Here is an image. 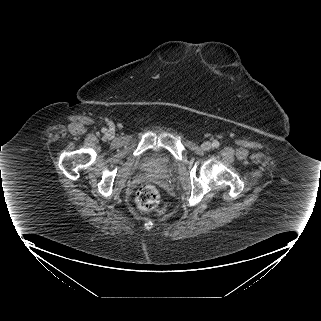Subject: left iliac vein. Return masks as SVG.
<instances>
[{"label":"left iliac vein","mask_w":321,"mask_h":321,"mask_svg":"<svg viewBox=\"0 0 321 321\" xmlns=\"http://www.w3.org/2000/svg\"><path fill=\"white\" fill-rule=\"evenodd\" d=\"M201 147H202L203 150H209V149L212 148V144H211L210 142L206 141V142H204V143L202 144Z\"/></svg>","instance_id":"left-iliac-vein-1"}]
</instances>
